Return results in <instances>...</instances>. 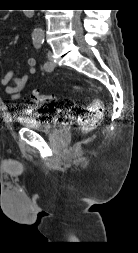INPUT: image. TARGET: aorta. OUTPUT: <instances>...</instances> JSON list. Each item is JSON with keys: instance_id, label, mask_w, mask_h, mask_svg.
<instances>
[{"instance_id": "obj_1", "label": "aorta", "mask_w": 138, "mask_h": 253, "mask_svg": "<svg viewBox=\"0 0 138 253\" xmlns=\"http://www.w3.org/2000/svg\"><path fill=\"white\" fill-rule=\"evenodd\" d=\"M32 37H33V39H43V37H44L43 30L41 28L34 29V31L32 33Z\"/></svg>"}]
</instances>
